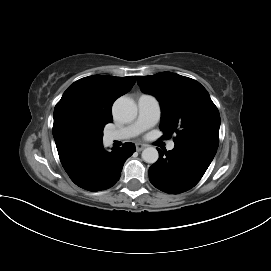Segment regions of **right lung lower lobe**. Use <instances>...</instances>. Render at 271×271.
<instances>
[{
	"label": "right lung lower lobe",
	"instance_id": "98d812e1",
	"mask_svg": "<svg viewBox=\"0 0 271 271\" xmlns=\"http://www.w3.org/2000/svg\"><path fill=\"white\" fill-rule=\"evenodd\" d=\"M134 152L133 143H125L111 152L102 147L97 153L78 162L66 172L77 186L85 190H105L119 180L124 162Z\"/></svg>",
	"mask_w": 271,
	"mask_h": 271
}]
</instances>
